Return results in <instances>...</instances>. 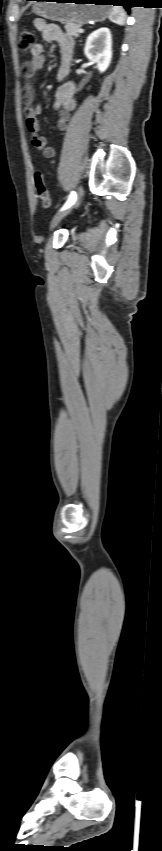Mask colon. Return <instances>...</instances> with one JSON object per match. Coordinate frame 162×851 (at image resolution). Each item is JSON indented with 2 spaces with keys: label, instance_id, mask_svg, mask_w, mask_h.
I'll list each match as a JSON object with an SVG mask.
<instances>
[{
  "label": "colon",
  "instance_id": "1",
  "mask_svg": "<svg viewBox=\"0 0 162 851\" xmlns=\"http://www.w3.org/2000/svg\"><path fill=\"white\" fill-rule=\"evenodd\" d=\"M37 35L35 31L29 27H24L20 31L19 35V46L21 50L25 53L31 51L32 47L36 44ZM34 183L37 190V194L42 201L44 207L48 208L51 205V198L48 190L44 185V178L41 171H36L34 174Z\"/></svg>",
  "mask_w": 162,
  "mask_h": 851
}]
</instances>
